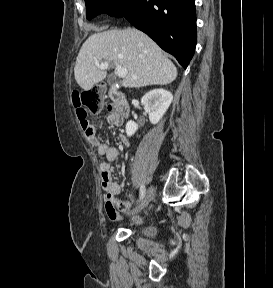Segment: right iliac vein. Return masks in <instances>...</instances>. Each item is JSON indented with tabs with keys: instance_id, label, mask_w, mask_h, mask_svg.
<instances>
[{
	"instance_id": "63e3f726",
	"label": "right iliac vein",
	"mask_w": 273,
	"mask_h": 288,
	"mask_svg": "<svg viewBox=\"0 0 273 288\" xmlns=\"http://www.w3.org/2000/svg\"><path fill=\"white\" fill-rule=\"evenodd\" d=\"M153 195H154V188L151 186L147 190L146 195H145L144 199L142 200V202L140 203V205L135 210H133L131 214L133 215V214L139 213L144 208H146L148 206L149 202L151 201Z\"/></svg>"
}]
</instances>
